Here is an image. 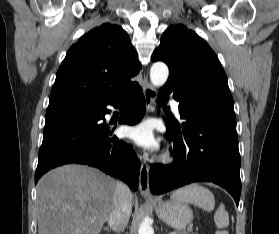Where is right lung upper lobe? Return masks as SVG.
I'll list each match as a JSON object with an SVG mask.
<instances>
[{
	"label": "right lung upper lobe",
	"mask_w": 279,
	"mask_h": 234,
	"mask_svg": "<svg viewBox=\"0 0 279 234\" xmlns=\"http://www.w3.org/2000/svg\"><path fill=\"white\" fill-rule=\"evenodd\" d=\"M141 64L130 38L120 26L102 24L72 45L50 93L48 108H96L114 100L135 82Z\"/></svg>",
	"instance_id": "1"
}]
</instances>
